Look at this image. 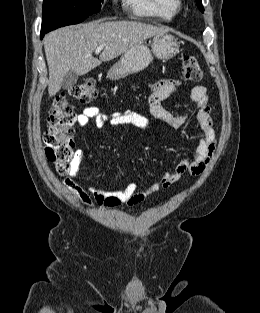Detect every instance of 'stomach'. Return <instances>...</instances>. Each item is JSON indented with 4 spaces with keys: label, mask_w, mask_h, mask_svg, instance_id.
<instances>
[{
    "label": "stomach",
    "mask_w": 260,
    "mask_h": 313,
    "mask_svg": "<svg viewBox=\"0 0 260 313\" xmlns=\"http://www.w3.org/2000/svg\"><path fill=\"white\" fill-rule=\"evenodd\" d=\"M150 46L139 43L123 53L120 60L109 69L107 78L118 80L138 73L148 67L152 55L159 59H170L179 52L180 47L177 39L168 33L155 35Z\"/></svg>",
    "instance_id": "0dacf381"
}]
</instances>
